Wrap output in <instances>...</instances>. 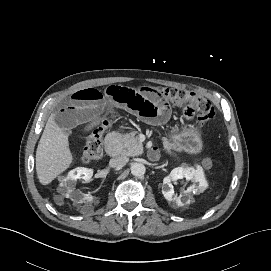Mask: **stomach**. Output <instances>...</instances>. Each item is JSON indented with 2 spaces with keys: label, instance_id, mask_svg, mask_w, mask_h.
<instances>
[{
  "label": "stomach",
  "instance_id": "1",
  "mask_svg": "<svg viewBox=\"0 0 271 271\" xmlns=\"http://www.w3.org/2000/svg\"><path fill=\"white\" fill-rule=\"evenodd\" d=\"M172 141L178 150L189 154H198L203 148L201 132L194 126L177 132L172 137Z\"/></svg>",
  "mask_w": 271,
  "mask_h": 271
}]
</instances>
